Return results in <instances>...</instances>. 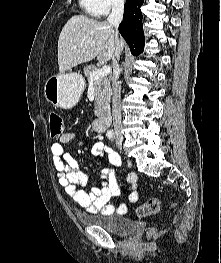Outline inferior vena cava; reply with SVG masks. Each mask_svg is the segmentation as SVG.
I'll use <instances>...</instances> for the list:
<instances>
[{
    "mask_svg": "<svg viewBox=\"0 0 221 263\" xmlns=\"http://www.w3.org/2000/svg\"><path fill=\"white\" fill-rule=\"evenodd\" d=\"M124 0H113L112 11L107 18L108 23L115 28L116 48L115 55L113 57V93H112V114H113V125L117 139H122L121 132V88L118 83V77L120 69L118 61L120 58L121 50L123 49V41L119 38L118 26L123 18Z\"/></svg>",
    "mask_w": 221,
    "mask_h": 263,
    "instance_id": "602c4592",
    "label": "inferior vena cava"
}]
</instances>
